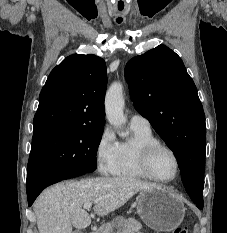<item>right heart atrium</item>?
I'll return each mask as SVG.
<instances>
[{"mask_svg":"<svg viewBox=\"0 0 227 233\" xmlns=\"http://www.w3.org/2000/svg\"><path fill=\"white\" fill-rule=\"evenodd\" d=\"M119 143L110 127L105 126L95 144L94 158L103 175L114 174L119 162Z\"/></svg>","mask_w":227,"mask_h":233,"instance_id":"d8ad5b80","label":"right heart atrium"}]
</instances>
